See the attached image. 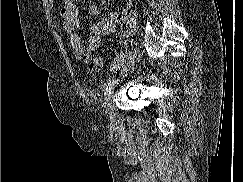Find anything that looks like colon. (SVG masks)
I'll return each instance as SVG.
<instances>
[{
  "label": "colon",
  "mask_w": 243,
  "mask_h": 182,
  "mask_svg": "<svg viewBox=\"0 0 243 182\" xmlns=\"http://www.w3.org/2000/svg\"><path fill=\"white\" fill-rule=\"evenodd\" d=\"M104 63L101 57H93L89 61V68L97 73L102 72Z\"/></svg>",
  "instance_id": "obj_1"
}]
</instances>
